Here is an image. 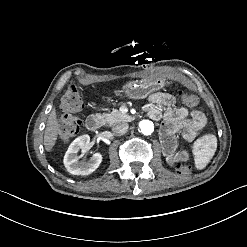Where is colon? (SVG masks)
I'll return each instance as SVG.
<instances>
[{
  "instance_id": "colon-1",
  "label": "colon",
  "mask_w": 247,
  "mask_h": 247,
  "mask_svg": "<svg viewBox=\"0 0 247 247\" xmlns=\"http://www.w3.org/2000/svg\"><path fill=\"white\" fill-rule=\"evenodd\" d=\"M179 97L183 103L194 106L195 108L199 107V100L194 94L180 92ZM82 106L83 100L81 93L78 92L75 86H68L60 103L62 116L58 122V132L59 138L62 141H70L77 135L79 125L81 124L80 111ZM173 166L178 174L187 175L191 172V167L181 158H176L173 161Z\"/></svg>"
}]
</instances>
